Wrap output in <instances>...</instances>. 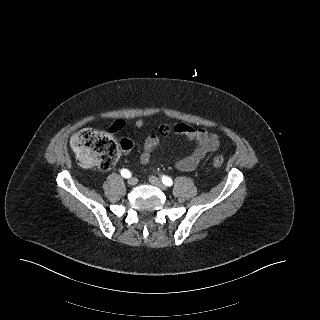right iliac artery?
Here are the masks:
<instances>
[{"label": "right iliac artery", "mask_w": 320, "mask_h": 320, "mask_svg": "<svg viewBox=\"0 0 320 320\" xmlns=\"http://www.w3.org/2000/svg\"><path fill=\"white\" fill-rule=\"evenodd\" d=\"M121 175L125 178H130L132 176V174L127 169H122Z\"/></svg>", "instance_id": "1"}]
</instances>
